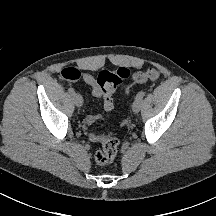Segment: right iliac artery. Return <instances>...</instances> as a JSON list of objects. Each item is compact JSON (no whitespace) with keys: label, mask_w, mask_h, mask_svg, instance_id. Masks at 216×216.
<instances>
[{"label":"right iliac artery","mask_w":216,"mask_h":216,"mask_svg":"<svg viewBox=\"0 0 216 216\" xmlns=\"http://www.w3.org/2000/svg\"><path fill=\"white\" fill-rule=\"evenodd\" d=\"M68 92H69L71 95H74V94H75V91H74L73 88H69V89H68Z\"/></svg>","instance_id":"right-iliac-artery-1"}]
</instances>
